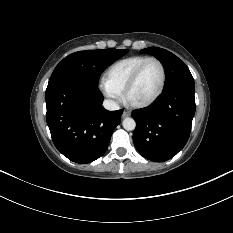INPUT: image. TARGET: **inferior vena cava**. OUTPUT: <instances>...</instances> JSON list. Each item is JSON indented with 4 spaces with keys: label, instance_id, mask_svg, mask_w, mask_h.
<instances>
[{
    "label": "inferior vena cava",
    "instance_id": "602c4592",
    "mask_svg": "<svg viewBox=\"0 0 233 233\" xmlns=\"http://www.w3.org/2000/svg\"><path fill=\"white\" fill-rule=\"evenodd\" d=\"M103 106L105 109L109 111H115L120 109L119 105L113 100H104Z\"/></svg>",
    "mask_w": 233,
    "mask_h": 233
}]
</instances>
